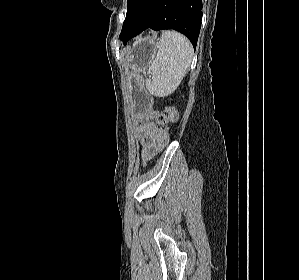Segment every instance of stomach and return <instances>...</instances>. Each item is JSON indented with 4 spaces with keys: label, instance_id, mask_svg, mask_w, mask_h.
I'll return each instance as SVG.
<instances>
[{
    "label": "stomach",
    "instance_id": "0dacf381",
    "mask_svg": "<svg viewBox=\"0 0 299 280\" xmlns=\"http://www.w3.org/2000/svg\"><path fill=\"white\" fill-rule=\"evenodd\" d=\"M157 52V44L149 38H141L130 48L126 60L132 70V87L130 97L134 104V112L141 113L149 102V95L144 90L139 73L151 66Z\"/></svg>",
    "mask_w": 299,
    "mask_h": 280
}]
</instances>
